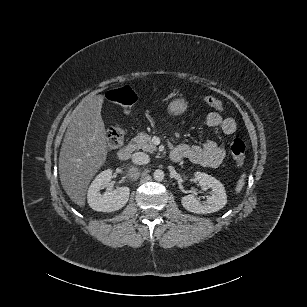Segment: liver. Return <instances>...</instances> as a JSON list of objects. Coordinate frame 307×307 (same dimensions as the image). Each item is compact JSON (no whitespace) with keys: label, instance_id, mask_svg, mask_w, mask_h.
<instances>
[{"label":"liver","instance_id":"obj_1","mask_svg":"<svg viewBox=\"0 0 307 307\" xmlns=\"http://www.w3.org/2000/svg\"><path fill=\"white\" fill-rule=\"evenodd\" d=\"M103 102L102 95L87 98L64 120L67 130L59 155L60 181L80 207L85 206L88 185L107 157Z\"/></svg>","mask_w":307,"mask_h":307}]
</instances>
